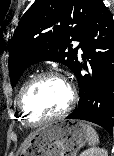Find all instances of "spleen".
Segmentation results:
<instances>
[{
  "label": "spleen",
  "instance_id": "spleen-1",
  "mask_svg": "<svg viewBox=\"0 0 114 156\" xmlns=\"http://www.w3.org/2000/svg\"><path fill=\"white\" fill-rule=\"evenodd\" d=\"M85 126H86V131L88 136V144L93 146L97 145L99 143V137L96 131L90 125H85Z\"/></svg>",
  "mask_w": 114,
  "mask_h": 156
}]
</instances>
